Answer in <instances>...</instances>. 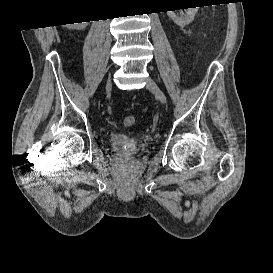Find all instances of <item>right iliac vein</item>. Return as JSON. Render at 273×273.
Segmentation results:
<instances>
[{
    "label": "right iliac vein",
    "mask_w": 273,
    "mask_h": 273,
    "mask_svg": "<svg viewBox=\"0 0 273 273\" xmlns=\"http://www.w3.org/2000/svg\"><path fill=\"white\" fill-rule=\"evenodd\" d=\"M111 87H112V81H111V78H109L107 83H106V90L111 89Z\"/></svg>",
    "instance_id": "1"
}]
</instances>
